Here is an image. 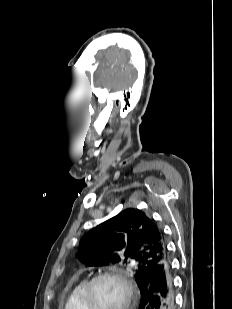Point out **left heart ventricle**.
Listing matches in <instances>:
<instances>
[{
    "label": "left heart ventricle",
    "instance_id": "1",
    "mask_svg": "<svg viewBox=\"0 0 232 309\" xmlns=\"http://www.w3.org/2000/svg\"><path fill=\"white\" fill-rule=\"evenodd\" d=\"M124 300L123 286L115 279L105 278L98 281L93 290L96 309H119Z\"/></svg>",
    "mask_w": 232,
    "mask_h": 309
}]
</instances>
